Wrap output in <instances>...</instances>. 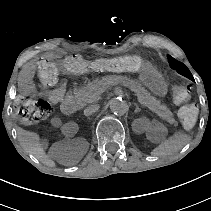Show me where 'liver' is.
<instances>
[{"instance_id": "6515ba94", "label": "liver", "mask_w": 211, "mask_h": 211, "mask_svg": "<svg viewBox=\"0 0 211 211\" xmlns=\"http://www.w3.org/2000/svg\"><path fill=\"white\" fill-rule=\"evenodd\" d=\"M18 132V139L26 152L34 155L45 165L56 167V162L50 155L45 152L40 140L41 136L35 131L25 130L19 126L16 127Z\"/></svg>"}]
</instances>
